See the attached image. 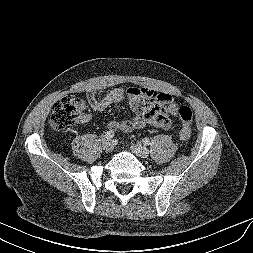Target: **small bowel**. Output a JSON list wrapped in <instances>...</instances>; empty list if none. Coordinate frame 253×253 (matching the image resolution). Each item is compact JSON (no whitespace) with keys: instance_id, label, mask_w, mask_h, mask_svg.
Listing matches in <instances>:
<instances>
[{"instance_id":"obj_1","label":"small bowel","mask_w":253,"mask_h":253,"mask_svg":"<svg viewBox=\"0 0 253 253\" xmlns=\"http://www.w3.org/2000/svg\"><path fill=\"white\" fill-rule=\"evenodd\" d=\"M90 107L95 111H103L111 105L128 100L134 113L132 119H112L107 126L110 131L130 132L152 126L168 129L171 125L170 116L180 115V109L175 98L164 92H157L145 88H115L106 94L90 90L86 94ZM88 117H85L87 119Z\"/></svg>"}]
</instances>
